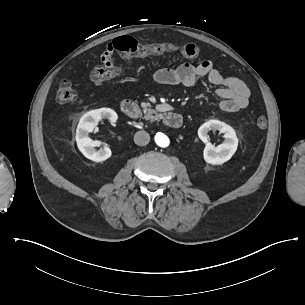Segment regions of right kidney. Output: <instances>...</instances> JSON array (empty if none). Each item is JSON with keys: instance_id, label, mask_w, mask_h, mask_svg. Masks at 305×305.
<instances>
[{"instance_id": "right-kidney-1", "label": "right kidney", "mask_w": 305, "mask_h": 305, "mask_svg": "<svg viewBox=\"0 0 305 305\" xmlns=\"http://www.w3.org/2000/svg\"><path fill=\"white\" fill-rule=\"evenodd\" d=\"M104 119L115 122L118 119V115L109 108L91 110L81 117L76 131V142L79 151L87 159L97 163L106 161L112 156V151L109 147L95 151L93 146L97 144L88 136V133L94 131V123Z\"/></svg>"}]
</instances>
